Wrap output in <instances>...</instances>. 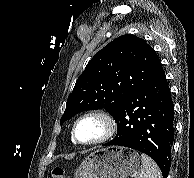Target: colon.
<instances>
[{"label": "colon", "instance_id": "1", "mask_svg": "<svg viewBox=\"0 0 194 178\" xmlns=\"http://www.w3.org/2000/svg\"><path fill=\"white\" fill-rule=\"evenodd\" d=\"M52 178H64V171L61 167H55L52 170Z\"/></svg>", "mask_w": 194, "mask_h": 178}]
</instances>
